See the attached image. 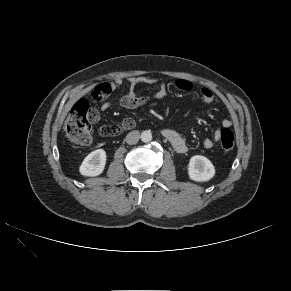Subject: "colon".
<instances>
[{
  "label": "colon",
  "instance_id": "obj_1",
  "mask_svg": "<svg viewBox=\"0 0 291 291\" xmlns=\"http://www.w3.org/2000/svg\"><path fill=\"white\" fill-rule=\"evenodd\" d=\"M108 93L105 87H96L92 92L93 101H101ZM96 112L85 99L78 100L72 107L69 117L66 120L64 131L66 138L75 144L88 145L91 142V124L95 121ZM135 121L131 118L125 119L121 125H109L100 129V134L105 137H112L120 134L123 130L131 129ZM220 144L224 151H231L235 146L233 132L224 128L220 132Z\"/></svg>",
  "mask_w": 291,
  "mask_h": 291
}]
</instances>
